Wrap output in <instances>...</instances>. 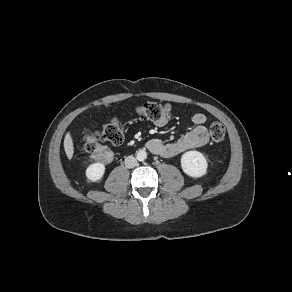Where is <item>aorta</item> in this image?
<instances>
[{
    "instance_id": "1",
    "label": "aorta",
    "mask_w": 292,
    "mask_h": 292,
    "mask_svg": "<svg viewBox=\"0 0 292 292\" xmlns=\"http://www.w3.org/2000/svg\"><path fill=\"white\" fill-rule=\"evenodd\" d=\"M136 157L139 161H144L147 158V153L145 150H139L136 153Z\"/></svg>"
}]
</instances>
